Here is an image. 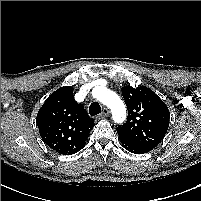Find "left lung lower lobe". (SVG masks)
<instances>
[{
  "label": "left lung lower lobe",
  "instance_id": "left-lung-lower-lobe-1",
  "mask_svg": "<svg viewBox=\"0 0 201 201\" xmlns=\"http://www.w3.org/2000/svg\"><path fill=\"white\" fill-rule=\"evenodd\" d=\"M121 140V139H120ZM121 143H122V146L125 147L126 150L132 152V153H135V154H143V153H147L148 151L147 150H144L140 147H137V146H133L131 144H128L126 143L125 141H122L121 140Z\"/></svg>",
  "mask_w": 201,
  "mask_h": 201
}]
</instances>
